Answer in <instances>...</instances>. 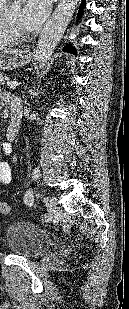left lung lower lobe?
<instances>
[{"label":"left lung lower lobe","mask_w":129,"mask_h":309,"mask_svg":"<svg viewBox=\"0 0 129 309\" xmlns=\"http://www.w3.org/2000/svg\"><path fill=\"white\" fill-rule=\"evenodd\" d=\"M84 6V4L82 3L81 5V8ZM65 51H68V52H72V53H75L74 49L70 46H67L64 48Z\"/></svg>","instance_id":"1"}]
</instances>
